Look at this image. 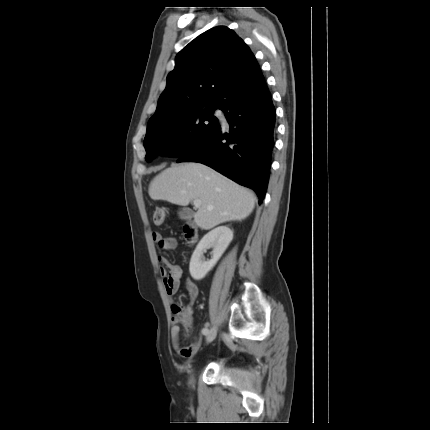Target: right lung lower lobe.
<instances>
[{
    "instance_id": "98d812e1",
    "label": "right lung lower lobe",
    "mask_w": 430,
    "mask_h": 430,
    "mask_svg": "<svg viewBox=\"0 0 430 430\" xmlns=\"http://www.w3.org/2000/svg\"><path fill=\"white\" fill-rule=\"evenodd\" d=\"M229 128L219 125L196 150L177 162H200L253 189L262 203L275 144L276 110L265 79L236 91L224 105Z\"/></svg>"
}]
</instances>
